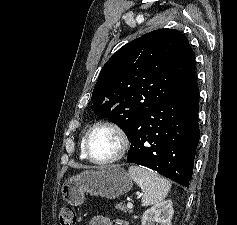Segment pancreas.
Masks as SVG:
<instances>
[{
  "instance_id": "cf45deb5",
  "label": "pancreas",
  "mask_w": 237,
  "mask_h": 225,
  "mask_svg": "<svg viewBox=\"0 0 237 225\" xmlns=\"http://www.w3.org/2000/svg\"><path fill=\"white\" fill-rule=\"evenodd\" d=\"M115 208L118 211L125 212V213H131L132 212L131 209H127L122 203L116 204Z\"/></svg>"
}]
</instances>
